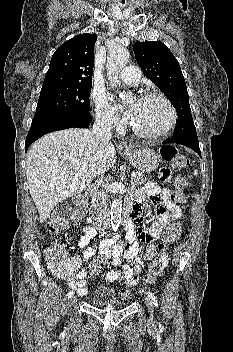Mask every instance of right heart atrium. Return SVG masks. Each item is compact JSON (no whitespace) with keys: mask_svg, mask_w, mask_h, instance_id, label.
Listing matches in <instances>:
<instances>
[{"mask_svg":"<svg viewBox=\"0 0 233 352\" xmlns=\"http://www.w3.org/2000/svg\"><path fill=\"white\" fill-rule=\"evenodd\" d=\"M95 103V117L98 123L107 127H118L121 125L120 117L114 106L107 100L104 94L93 95Z\"/></svg>","mask_w":233,"mask_h":352,"instance_id":"d8ad5b80","label":"right heart atrium"}]
</instances>
